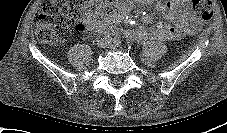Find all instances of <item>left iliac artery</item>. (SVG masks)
Masks as SVG:
<instances>
[{"label": "left iliac artery", "mask_w": 227, "mask_h": 133, "mask_svg": "<svg viewBox=\"0 0 227 133\" xmlns=\"http://www.w3.org/2000/svg\"><path fill=\"white\" fill-rule=\"evenodd\" d=\"M113 43H114L115 45H120V44H121V38H120V36L116 35V36L114 37V39H113Z\"/></svg>", "instance_id": "1"}]
</instances>
